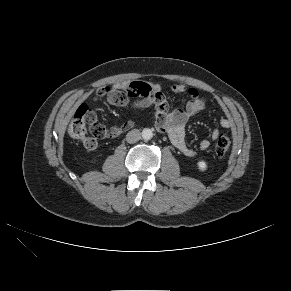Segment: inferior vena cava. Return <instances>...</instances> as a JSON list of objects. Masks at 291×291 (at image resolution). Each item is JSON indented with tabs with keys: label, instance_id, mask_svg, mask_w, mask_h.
<instances>
[{
	"label": "inferior vena cava",
	"instance_id": "1",
	"mask_svg": "<svg viewBox=\"0 0 291 291\" xmlns=\"http://www.w3.org/2000/svg\"><path fill=\"white\" fill-rule=\"evenodd\" d=\"M141 139V132L138 129L129 131L126 135V141L128 143H135Z\"/></svg>",
	"mask_w": 291,
	"mask_h": 291
}]
</instances>
